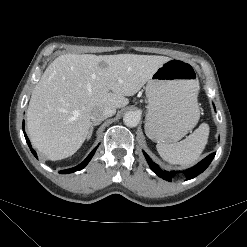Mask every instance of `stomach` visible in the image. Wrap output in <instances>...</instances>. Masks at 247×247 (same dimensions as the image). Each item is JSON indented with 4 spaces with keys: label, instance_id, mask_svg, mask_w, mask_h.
Instances as JSON below:
<instances>
[{
    "label": "stomach",
    "instance_id": "0dacf381",
    "mask_svg": "<svg viewBox=\"0 0 247 247\" xmlns=\"http://www.w3.org/2000/svg\"><path fill=\"white\" fill-rule=\"evenodd\" d=\"M145 132L158 143L179 141L197 124L198 81L192 66L181 59L163 63L146 85ZM199 109V108H198Z\"/></svg>",
    "mask_w": 247,
    "mask_h": 247
}]
</instances>
